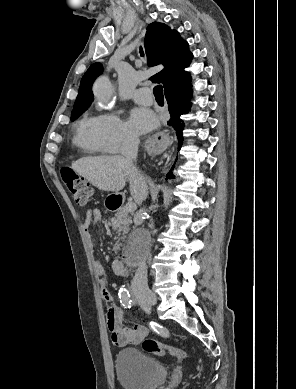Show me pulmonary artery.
I'll return each mask as SVG.
<instances>
[{"instance_id":"1","label":"pulmonary artery","mask_w":296,"mask_h":389,"mask_svg":"<svg viewBox=\"0 0 296 389\" xmlns=\"http://www.w3.org/2000/svg\"><path fill=\"white\" fill-rule=\"evenodd\" d=\"M133 99L136 103L141 105H150L152 103V97L148 88H139L134 91Z\"/></svg>"}]
</instances>
